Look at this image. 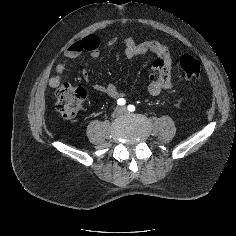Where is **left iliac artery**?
I'll use <instances>...</instances> for the list:
<instances>
[{
  "mask_svg": "<svg viewBox=\"0 0 236 236\" xmlns=\"http://www.w3.org/2000/svg\"><path fill=\"white\" fill-rule=\"evenodd\" d=\"M127 109L130 111V112H133L135 110V106L133 105H128Z\"/></svg>",
  "mask_w": 236,
  "mask_h": 236,
  "instance_id": "left-iliac-artery-1",
  "label": "left iliac artery"
}]
</instances>
